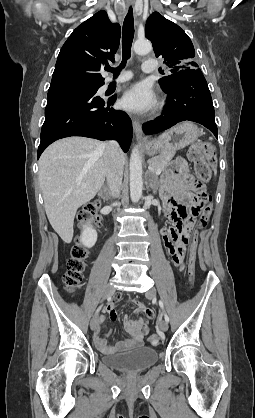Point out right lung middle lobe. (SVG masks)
Instances as JSON below:
<instances>
[{"label":"right lung middle lobe","mask_w":255,"mask_h":418,"mask_svg":"<svg viewBox=\"0 0 255 418\" xmlns=\"http://www.w3.org/2000/svg\"><path fill=\"white\" fill-rule=\"evenodd\" d=\"M100 84H75V85H70V86H66V87H86V88H96L98 87Z\"/></svg>","instance_id":"1"}]
</instances>
